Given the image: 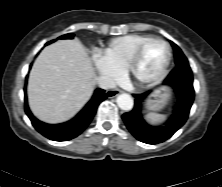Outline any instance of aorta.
I'll use <instances>...</instances> for the list:
<instances>
[{
  "mask_svg": "<svg viewBox=\"0 0 222 187\" xmlns=\"http://www.w3.org/2000/svg\"><path fill=\"white\" fill-rule=\"evenodd\" d=\"M117 104L119 106L120 109L125 110V111H129L133 108V98L129 95V94H120L117 97Z\"/></svg>",
  "mask_w": 222,
  "mask_h": 187,
  "instance_id": "762f6f07",
  "label": "aorta"
}]
</instances>
